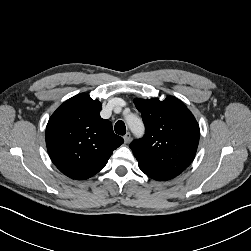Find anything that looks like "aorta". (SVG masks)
I'll return each instance as SVG.
<instances>
[{"label": "aorta", "instance_id": "obj_1", "mask_svg": "<svg viewBox=\"0 0 251 251\" xmlns=\"http://www.w3.org/2000/svg\"><path fill=\"white\" fill-rule=\"evenodd\" d=\"M130 128L134 132H140L143 129L142 122L139 118L132 116L127 119Z\"/></svg>", "mask_w": 251, "mask_h": 251}]
</instances>
